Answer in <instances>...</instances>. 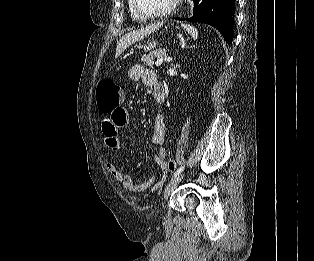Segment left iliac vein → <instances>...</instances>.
I'll use <instances>...</instances> for the list:
<instances>
[{"instance_id": "obj_1", "label": "left iliac vein", "mask_w": 314, "mask_h": 261, "mask_svg": "<svg viewBox=\"0 0 314 261\" xmlns=\"http://www.w3.org/2000/svg\"><path fill=\"white\" fill-rule=\"evenodd\" d=\"M184 174H179L175 177H173L167 184L165 190H164V199H168L169 196L171 195L172 191L178 186V184L181 182L183 179Z\"/></svg>"}]
</instances>
